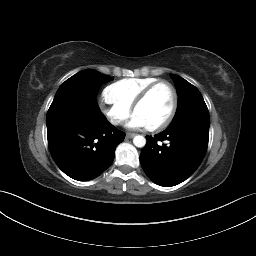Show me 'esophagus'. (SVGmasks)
Listing matches in <instances>:
<instances>
[{
  "instance_id": "34e87169",
  "label": "esophagus",
  "mask_w": 256,
  "mask_h": 256,
  "mask_svg": "<svg viewBox=\"0 0 256 256\" xmlns=\"http://www.w3.org/2000/svg\"><path fill=\"white\" fill-rule=\"evenodd\" d=\"M136 134L135 133H127L126 138L130 139L133 138Z\"/></svg>"
}]
</instances>
